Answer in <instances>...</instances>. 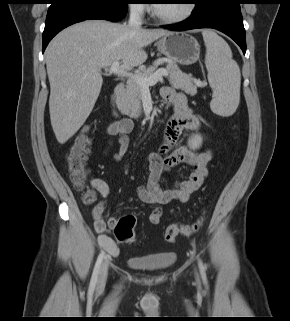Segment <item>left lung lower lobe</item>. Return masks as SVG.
<instances>
[{"mask_svg":"<svg viewBox=\"0 0 290 321\" xmlns=\"http://www.w3.org/2000/svg\"><path fill=\"white\" fill-rule=\"evenodd\" d=\"M241 3L242 0H210L203 7L193 10L189 19L163 27L172 31L214 28L231 37L245 54L246 39Z\"/></svg>","mask_w":290,"mask_h":321,"instance_id":"left-lung-lower-lobe-1","label":"left lung lower lobe"}]
</instances>
